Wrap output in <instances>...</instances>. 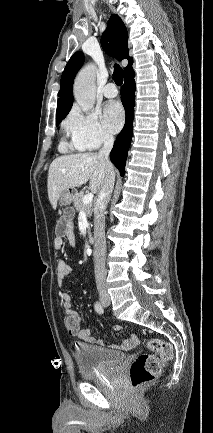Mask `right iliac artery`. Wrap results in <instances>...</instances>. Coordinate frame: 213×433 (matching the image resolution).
Returning a JSON list of instances; mask_svg holds the SVG:
<instances>
[{"label": "right iliac artery", "instance_id": "obj_1", "mask_svg": "<svg viewBox=\"0 0 213 433\" xmlns=\"http://www.w3.org/2000/svg\"><path fill=\"white\" fill-rule=\"evenodd\" d=\"M94 308L98 314H102L104 312L103 306L98 301L95 303Z\"/></svg>", "mask_w": 213, "mask_h": 433}]
</instances>
